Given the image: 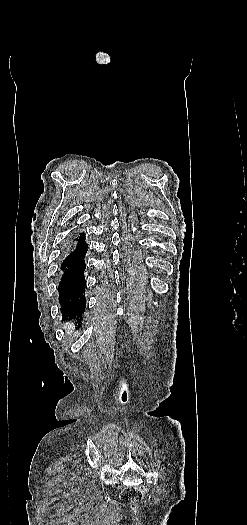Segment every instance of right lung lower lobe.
I'll list each match as a JSON object with an SVG mask.
<instances>
[{"label":"right lung lower lobe","mask_w":247,"mask_h":525,"mask_svg":"<svg viewBox=\"0 0 247 525\" xmlns=\"http://www.w3.org/2000/svg\"><path fill=\"white\" fill-rule=\"evenodd\" d=\"M87 248L85 234L80 233L74 240L73 250L61 265L64 274L58 286L59 302L62 316L66 319L74 318L80 321L85 311L84 257Z\"/></svg>","instance_id":"1"}]
</instances>
